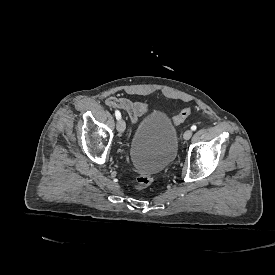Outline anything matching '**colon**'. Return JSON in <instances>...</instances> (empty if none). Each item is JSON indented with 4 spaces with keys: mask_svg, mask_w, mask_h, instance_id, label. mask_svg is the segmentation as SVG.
<instances>
[{
    "mask_svg": "<svg viewBox=\"0 0 275 275\" xmlns=\"http://www.w3.org/2000/svg\"><path fill=\"white\" fill-rule=\"evenodd\" d=\"M189 115V110L182 111L179 115L174 116L171 121L174 124H179L185 120V118ZM152 175L149 172L140 171L137 178L135 187L139 190L145 189L149 187L152 183Z\"/></svg>",
    "mask_w": 275,
    "mask_h": 275,
    "instance_id": "5ec220e1",
    "label": "colon"
}]
</instances>
